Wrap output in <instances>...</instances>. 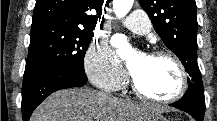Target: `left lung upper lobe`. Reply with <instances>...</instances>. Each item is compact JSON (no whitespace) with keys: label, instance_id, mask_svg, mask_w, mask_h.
Returning <instances> with one entry per match:
<instances>
[{"label":"left lung upper lobe","instance_id":"left-lung-upper-lobe-1","mask_svg":"<svg viewBox=\"0 0 217 121\" xmlns=\"http://www.w3.org/2000/svg\"><path fill=\"white\" fill-rule=\"evenodd\" d=\"M165 45L181 60L188 73V88L205 102L197 63V17L195 0H139Z\"/></svg>","mask_w":217,"mask_h":121}]
</instances>
